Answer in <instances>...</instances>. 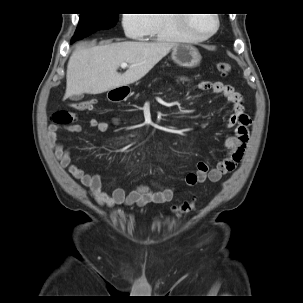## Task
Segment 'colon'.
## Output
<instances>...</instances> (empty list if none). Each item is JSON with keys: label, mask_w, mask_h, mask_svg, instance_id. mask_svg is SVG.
I'll return each mask as SVG.
<instances>
[{"label": "colon", "mask_w": 303, "mask_h": 303, "mask_svg": "<svg viewBox=\"0 0 303 303\" xmlns=\"http://www.w3.org/2000/svg\"><path fill=\"white\" fill-rule=\"evenodd\" d=\"M217 69L218 71L226 75L230 72V65L227 62L221 61L217 64ZM96 100H86L83 102L79 103H71V106L80 109V110H90L92 107L95 105ZM75 120V116L72 112L67 111V110H60L58 112H55L52 117L51 121L55 124H60V125H65V124H70ZM195 207V204L193 201H186L183 202L180 205L174 206V211L177 213H187L193 210Z\"/></svg>", "instance_id": "5ec220e1"}]
</instances>
